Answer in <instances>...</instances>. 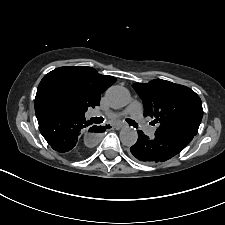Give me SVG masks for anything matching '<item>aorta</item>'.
<instances>
[{
	"mask_svg": "<svg viewBox=\"0 0 225 225\" xmlns=\"http://www.w3.org/2000/svg\"><path fill=\"white\" fill-rule=\"evenodd\" d=\"M109 104L114 108L125 107L129 104L131 97L129 91L119 85L110 87L106 92ZM138 134L136 129L124 127L120 131V140L125 146H132L137 142Z\"/></svg>",
	"mask_w": 225,
	"mask_h": 225,
	"instance_id": "762f6f07",
	"label": "aorta"
}]
</instances>
